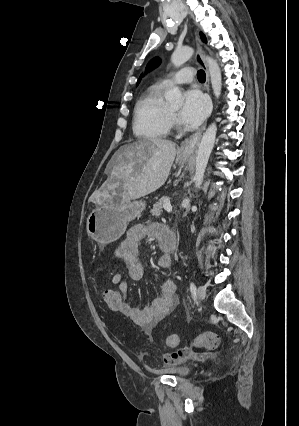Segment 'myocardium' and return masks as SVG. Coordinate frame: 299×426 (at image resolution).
Returning <instances> with one entry per match:
<instances>
[{"label":"myocardium","mask_w":299,"mask_h":426,"mask_svg":"<svg viewBox=\"0 0 299 426\" xmlns=\"http://www.w3.org/2000/svg\"><path fill=\"white\" fill-rule=\"evenodd\" d=\"M170 113H171V116H172V117H174V116H175V112H174L172 109H170Z\"/></svg>","instance_id":"1"}]
</instances>
